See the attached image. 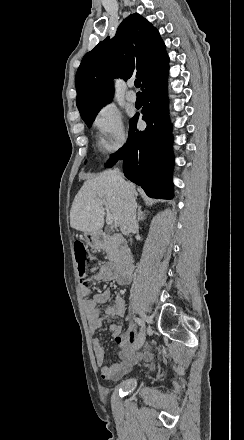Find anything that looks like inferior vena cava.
I'll return each mask as SVG.
<instances>
[{"instance_id":"1","label":"inferior vena cava","mask_w":244,"mask_h":440,"mask_svg":"<svg viewBox=\"0 0 244 440\" xmlns=\"http://www.w3.org/2000/svg\"><path fill=\"white\" fill-rule=\"evenodd\" d=\"M117 178L123 186L126 188L128 194L125 196V208L122 210L120 218V230L124 236H129L134 230H138V224L136 220V200L134 194H131L132 190L129 188L127 182L123 180L120 170H117Z\"/></svg>"}]
</instances>
